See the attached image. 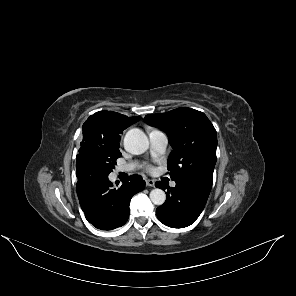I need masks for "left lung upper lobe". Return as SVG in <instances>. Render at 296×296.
<instances>
[{"label": "left lung upper lobe", "instance_id": "obj_1", "mask_svg": "<svg viewBox=\"0 0 296 296\" xmlns=\"http://www.w3.org/2000/svg\"><path fill=\"white\" fill-rule=\"evenodd\" d=\"M162 129L173 148L167 167L175 182L188 179H213L216 163L217 134L207 116L182 107L162 114L145 116Z\"/></svg>", "mask_w": 296, "mask_h": 296}]
</instances>
